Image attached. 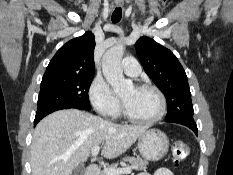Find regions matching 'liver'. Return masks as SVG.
I'll return each instance as SVG.
<instances>
[{"label": "liver", "instance_id": "liver-1", "mask_svg": "<svg viewBox=\"0 0 233 175\" xmlns=\"http://www.w3.org/2000/svg\"><path fill=\"white\" fill-rule=\"evenodd\" d=\"M147 130L146 126L119 125L77 109L56 111L35 128L31 144L32 175H72L94 146L113 159Z\"/></svg>", "mask_w": 233, "mask_h": 175}]
</instances>
